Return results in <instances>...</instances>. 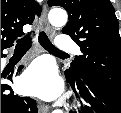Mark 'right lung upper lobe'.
Returning <instances> with one entry per match:
<instances>
[{
    "label": "right lung upper lobe",
    "instance_id": "1",
    "mask_svg": "<svg viewBox=\"0 0 121 113\" xmlns=\"http://www.w3.org/2000/svg\"><path fill=\"white\" fill-rule=\"evenodd\" d=\"M34 13L39 15V5L34 0H1V51L24 35L22 28L33 22Z\"/></svg>",
    "mask_w": 121,
    "mask_h": 113
}]
</instances>
